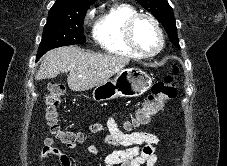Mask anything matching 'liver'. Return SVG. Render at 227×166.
Listing matches in <instances>:
<instances>
[{
  "label": "liver",
  "instance_id": "obj_1",
  "mask_svg": "<svg viewBox=\"0 0 227 166\" xmlns=\"http://www.w3.org/2000/svg\"><path fill=\"white\" fill-rule=\"evenodd\" d=\"M129 62L130 59L125 56L66 46L53 49L42 57L35 79H51L69 72L68 87L73 91H86L107 82Z\"/></svg>",
  "mask_w": 227,
  "mask_h": 166
}]
</instances>
